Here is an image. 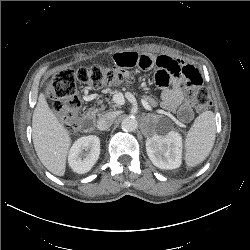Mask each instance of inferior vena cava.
<instances>
[{
  "label": "inferior vena cava",
  "mask_w": 250,
  "mask_h": 250,
  "mask_svg": "<svg viewBox=\"0 0 250 250\" xmlns=\"http://www.w3.org/2000/svg\"><path fill=\"white\" fill-rule=\"evenodd\" d=\"M115 114L112 112L105 113L97 121V128L99 130L108 129L114 122Z\"/></svg>",
  "instance_id": "obj_1"
}]
</instances>
